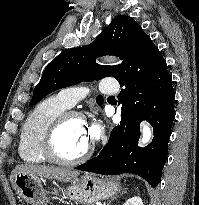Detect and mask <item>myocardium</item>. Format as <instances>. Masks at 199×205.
I'll return each mask as SVG.
<instances>
[{
	"label": "myocardium",
	"instance_id": "f54148a6",
	"mask_svg": "<svg viewBox=\"0 0 199 205\" xmlns=\"http://www.w3.org/2000/svg\"><path fill=\"white\" fill-rule=\"evenodd\" d=\"M73 118L80 119L84 122L86 121V117L81 112L65 110L58 114L43 131L40 140V151L48 161L59 165L69 166L83 162L92 155L94 151V144L92 142L80 155L73 158H65L57 152L55 147L57 133L68 120Z\"/></svg>",
	"mask_w": 199,
	"mask_h": 205
}]
</instances>
